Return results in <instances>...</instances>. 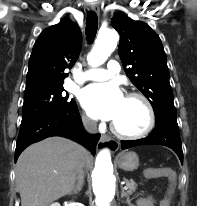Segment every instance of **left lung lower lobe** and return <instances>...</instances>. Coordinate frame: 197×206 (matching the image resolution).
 Segmentation results:
<instances>
[{
  "mask_svg": "<svg viewBox=\"0 0 197 206\" xmlns=\"http://www.w3.org/2000/svg\"><path fill=\"white\" fill-rule=\"evenodd\" d=\"M147 144L163 145L171 148L179 156L180 161L183 164V151L178 124L163 122L156 125L153 132L146 138L131 141L122 140L121 148L124 150Z\"/></svg>",
  "mask_w": 197,
  "mask_h": 206,
  "instance_id": "obj_1",
  "label": "left lung lower lobe"
}]
</instances>
